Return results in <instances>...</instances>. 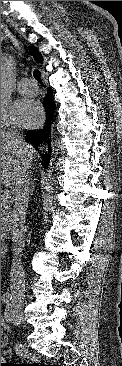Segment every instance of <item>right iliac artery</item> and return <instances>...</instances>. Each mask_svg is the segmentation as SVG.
Segmentation results:
<instances>
[{
	"label": "right iliac artery",
	"instance_id": "1",
	"mask_svg": "<svg viewBox=\"0 0 122 366\" xmlns=\"http://www.w3.org/2000/svg\"><path fill=\"white\" fill-rule=\"evenodd\" d=\"M12 298L7 295V294H4L3 297H1V300L4 302V303H8Z\"/></svg>",
	"mask_w": 122,
	"mask_h": 366
}]
</instances>
